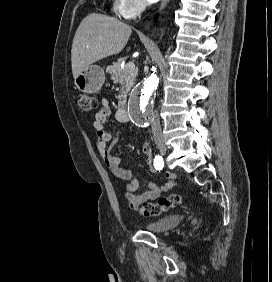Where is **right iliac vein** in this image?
I'll return each mask as SVG.
<instances>
[{
	"instance_id": "1",
	"label": "right iliac vein",
	"mask_w": 272,
	"mask_h": 282,
	"mask_svg": "<svg viewBox=\"0 0 272 282\" xmlns=\"http://www.w3.org/2000/svg\"><path fill=\"white\" fill-rule=\"evenodd\" d=\"M156 145H157L159 152L162 155H165L167 153V146H166L165 141L163 140L157 141Z\"/></svg>"
}]
</instances>
